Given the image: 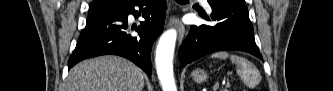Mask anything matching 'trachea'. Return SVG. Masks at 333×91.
I'll return each instance as SVG.
<instances>
[{
	"instance_id": "1",
	"label": "trachea",
	"mask_w": 333,
	"mask_h": 91,
	"mask_svg": "<svg viewBox=\"0 0 333 91\" xmlns=\"http://www.w3.org/2000/svg\"><path fill=\"white\" fill-rule=\"evenodd\" d=\"M177 2H179V3H186L188 1L187 0H177Z\"/></svg>"
}]
</instances>
